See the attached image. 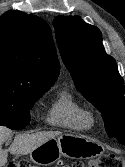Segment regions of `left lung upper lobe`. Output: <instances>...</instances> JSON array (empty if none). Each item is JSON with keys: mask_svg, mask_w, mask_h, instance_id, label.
Listing matches in <instances>:
<instances>
[{"mask_svg": "<svg viewBox=\"0 0 125 167\" xmlns=\"http://www.w3.org/2000/svg\"><path fill=\"white\" fill-rule=\"evenodd\" d=\"M53 25L77 89L101 112L108 136L125 144L124 80L114 58L104 50L99 29L78 16H58Z\"/></svg>", "mask_w": 125, "mask_h": 167, "instance_id": "1", "label": "left lung upper lobe"}]
</instances>
